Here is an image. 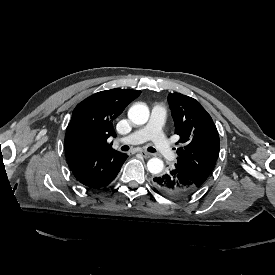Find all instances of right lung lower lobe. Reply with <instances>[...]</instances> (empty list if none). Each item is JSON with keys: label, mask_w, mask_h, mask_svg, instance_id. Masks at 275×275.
<instances>
[{"label": "right lung lower lobe", "mask_w": 275, "mask_h": 275, "mask_svg": "<svg viewBox=\"0 0 275 275\" xmlns=\"http://www.w3.org/2000/svg\"><path fill=\"white\" fill-rule=\"evenodd\" d=\"M127 157V154L110 150L70 156L67 163L77 181L98 189L115 179Z\"/></svg>", "instance_id": "right-lung-lower-lobe-1"}]
</instances>
